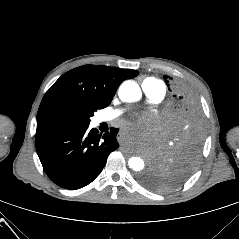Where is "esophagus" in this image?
<instances>
[{"label": "esophagus", "mask_w": 239, "mask_h": 239, "mask_svg": "<svg viewBox=\"0 0 239 239\" xmlns=\"http://www.w3.org/2000/svg\"><path fill=\"white\" fill-rule=\"evenodd\" d=\"M117 140H118L119 142H124V141L126 140V135H125L124 133H119V134L117 135Z\"/></svg>", "instance_id": "esophagus-1"}]
</instances>
